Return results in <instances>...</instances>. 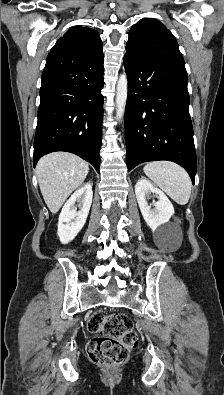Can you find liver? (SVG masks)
Listing matches in <instances>:
<instances>
[{
	"mask_svg": "<svg viewBox=\"0 0 224 395\" xmlns=\"http://www.w3.org/2000/svg\"><path fill=\"white\" fill-rule=\"evenodd\" d=\"M88 172L86 161L66 152H54L38 161L36 176L51 213L59 211L68 196L83 184Z\"/></svg>",
	"mask_w": 224,
	"mask_h": 395,
	"instance_id": "1",
	"label": "liver"
}]
</instances>
